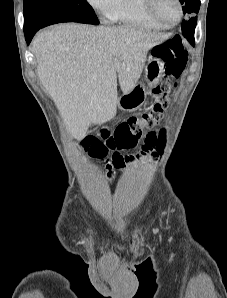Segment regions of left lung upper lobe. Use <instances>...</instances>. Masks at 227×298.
Segmentation results:
<instances>
[{"mask_svg":"<svg viewBox=\"0 0 227 298\" xmlns=\"http://www.w3.org/2000/svg\"><path fill=\"white\" fill-rule=\"evenodd\" d=\"M183 5V13L189 15V19L182 22V34L188 41L194 40V32L197 23L195 14L199 12L200 0H179ZM195 42V40H194Z\"/></svg>","mask_w":227,"mask_h":298,"instance_id":"5c2ea615","label":"left lung upper lobe"}]
</instances>
